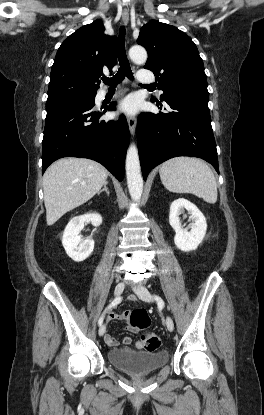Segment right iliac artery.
Wrapping results in <instances>:
<instances>
[{
    "mask_svg": "<svg viewBox=\"0 0 264 415\" xmlns=\"http://www.w3.org/2000/svg\"><path fill=\"white\" fill-rule=\"evenodd\" d=\"M121 300H122V298L119 296V297H117V298H115L113 301H112V303L105 309V311L102 313V315L100 316V318H99V320H98V325L99 326H101L102 325V323H103V320H104V316H105V313H106V311L109 309V308H111V307H114V306H116L117 304H119L120 302H121Z\"/></svg>",
    "mask_w": 264,
    "mask_h": 415,
    "instance_id": "1",
    "label": "right iliac artery"
}]
</instances>
